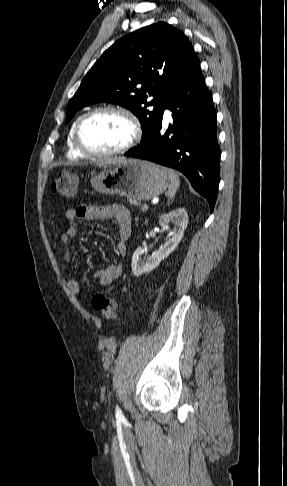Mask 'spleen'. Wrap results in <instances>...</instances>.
Here are the masks:
<instances>
[{"label":"spleen","instance_id":"3e777b00","mask_svg":"<svg viewBox=\"0 0 287 486\" xmlns=\"http://www.w3.org/2000/svg\"><path fill=\"white\" fill-rule=\"evenodd\" d=\"M166 173L168 175V178L170 180V184L168 187V197L172 198L174 197L175 193L177 192L179 185H180V179L179 176L171 169H166Z\"/></svg>","mask_w":287,"mask_h":486}]
</instances>
